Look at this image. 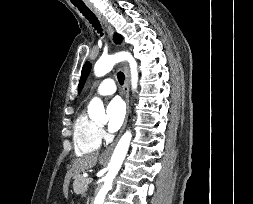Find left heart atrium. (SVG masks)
<instances>
[{"mask_svg": "<svg viewBox=\"0 0 253 204\" xmlns=\"http://www.w3.org/2000/svg\"><path fill=\"white\" fill-rule=\"evenodd\" d=\"M108 123L110 132H116L122 125L125 118V107L119 98L111 100L107 106Z\"/></svg>", "mask_w": 253, "mask_h": 204, "instance_id": "left-heart-atrium-1", "label": "left heart atrium"}]
</instances>
